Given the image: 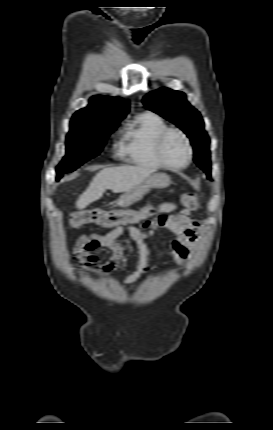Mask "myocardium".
<instances>
[{
	"instance_id": "f54148a6",
	"label": "myocardium",
	"mask_w": 273,
	"mask_h": 430,
	"mask_svg": "<svg viewBox=\"0 0 273 430\" xmlns=\"http://www.w3.org/2000/svg\"><path fill=\"white\" fill-rule=\"evenodd\" d=\"M173 133H176V134L180 135L183 138V140L185 142V145H186L187 160H186V162L184 164H181V165H174V164L169 163L166 160L165 156H164V152H163L164 143H165L167 137L170 134H173ZM156 155H157L159 161L162 163V165L164 167L168 168V169L181 170V169L186 168L187 166L190 165V163L192 161V158H193V149H192V145H191L189 137L181 129L172 128V127H169L167 129H165L164 131H162L160 133V135L157 138V141H156Z\"/></svg>"
}]
</instances>
